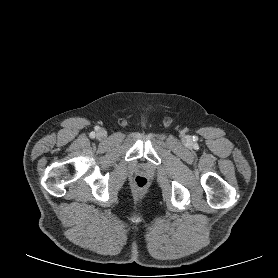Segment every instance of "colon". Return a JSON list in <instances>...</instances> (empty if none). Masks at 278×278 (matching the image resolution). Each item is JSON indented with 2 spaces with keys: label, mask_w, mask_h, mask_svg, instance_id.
<instances>
[{
  "label": "colon",
  "mask_w": 278,
  "mask_h": 278,
  "mask_svg": "<svg viewBox=\"0 0 278 278\" xmlns=\"http://www.w3.org/2000/svg\"><path fill=\"white\" fill-rule=\"evenodd\" d=\"M148 181L144 176H136L134 179V187L142 191L147 187Z\"/></svg>",
  "instance_id": "1"
}]
</instances>
